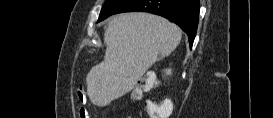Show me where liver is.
Returning <instances> with one entry per match:
<instances>
[{"label":"liver","instance_id":"1","mask_svg":"<svg viewBox=\"0 0 273 118\" xmlns=\"http://www.w3.org/2000/svg\"><path fill=\"white\" fill-rule=\"evenodd\" d=\"M181 37V30L160 16L132 12L112 17L104 34V60L87 75L90 101L106 106L130 92L159 58L176 49Z\"/></svg>","mask_w":273,"mask_h":118}]
</instances>
